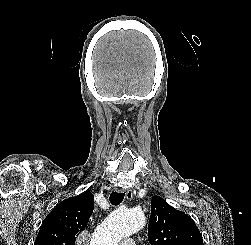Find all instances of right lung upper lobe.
Segmentation results:
<instances>
[{"label":"right lung upper lobe","mask_w":251,"mask_h":245,"mask_svg":"<svg viewBox=\"0 0 251 245\" xmlns=\"http://www.w3.org/2000/svg\"><path fill=\"white\" fill-rule=\"evenodd\" d=\"M94 210V196L85 191L59 203L42 222L34 245H75Z\"/></svg>","instance_id":"1"}]
</instances>
